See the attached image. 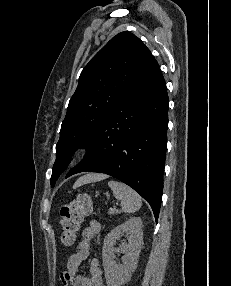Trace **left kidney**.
Wrapping results in <instances>:
<instances>
[{"instance_id": "left-kidney-1", "label": "left kidney", "mask_w": 231, "mask_h": 286, "mask_svg": "<svg viewBox=\"0 0 231 286\" xmlns=\"http://www.w3.org/2000/svg\"><path fill=\"white\" fill-rule=\"evenodd\" d=\"M142 220L140 217H132L125 223L118 225L109 232L102 249L105 279L108 286H121L127 283L132 273L137 268L139 253L143 244ZM125 233L130 234L129 243H122L116 249V241ZM115 252L124 254L122 264L114 261Z\"/></svg>"}]
</instances>
